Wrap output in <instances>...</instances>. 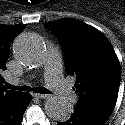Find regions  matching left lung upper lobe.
I'll list each match as a JSON object with an SVG mask.
<instances>
[{"mask_svg": "<svg viewBox=\"0 0 125 125\" xmlns=\"http://www.w3.org/2000/svg\"><path fill=\"white\" fill-rule=\"evenodd\" d=\"M59 38L66 72L76 77L77 108L110 116L118 97L119 60L106 36L79 20L64 18L45 24Z\"/></svg>", "mask_w": 125, "mask_h": 125, "instance_id": "left-lung-upper-lobe-1", "label": "left lung upper lobe"}]
</instances>
